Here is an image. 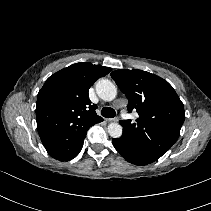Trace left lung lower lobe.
I'll list each match as a JSON object with an SVG mask.
<instances>
[{
    "instance_id": "left-lung-lower-lobe-1",
    "label": "left lung lower lobe",
    "mask_w": 211,
    "mask_h": 211,
    "mask_svg": "<svg viewBox=\"0 0 211 211\" xmlns=\"http://www.w3.org/2000/svg\"><path fill=\"white\" fill-rule=\"evenodd\" d=\"M112 143L123 158L132 164L147 165L157 160V158L148 154L124 132L120 138L113 139Z\"/></svg>"
}]
</instances>
